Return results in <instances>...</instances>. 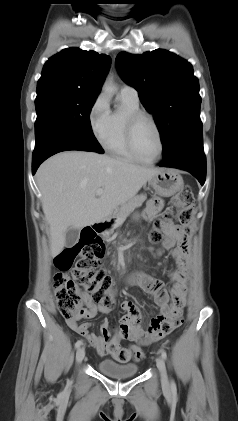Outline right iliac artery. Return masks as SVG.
<instances>
[{
    "label": "right iliac artery",
    "mask_w": 238,
    "mask_h": 421,
    "mask_svg": "<svg viewBox=\"0 0 238 421\" xmlns=\"http://www.w3.org/2000/svg\"><path fill=\"white\" fill-rule=\"evenodd\" d=\"M82 344H83V341H82V340H78V341L75 343V348H76V349H77V348H79Z\"/></svg>",
    "instance_id": "obj_1"
}]
</instances>
